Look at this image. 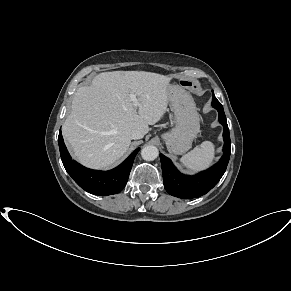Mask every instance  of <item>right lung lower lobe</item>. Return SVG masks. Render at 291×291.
I'll use <instances>...</instances> for the list:
<instances>
[{"label": "right lung lower lobe", "instance_id": "98d812e1", "mask_svg": "<svg viewBox=\"0 0 291 291\" xmlns=\"http://www.w3.org/2000/svg\"><path fill=\"white\" fill-rule=\"evenodd\" d=\"M60 155L68 174L85 191L95 195L117 194L125 187L134 158L139 151L136 149L123 163L109 171H97L83 167L72 160L64 144L61 130L58 136Z\"/></svg>", "mask_w": 291, "mask_h": 291}]
</instances>
